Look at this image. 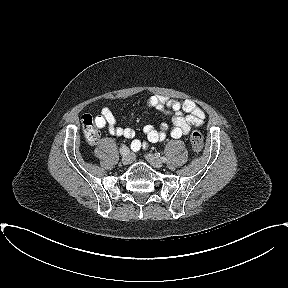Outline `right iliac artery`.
<instances>
[{
    "label": "right iliac artery",
    "instance_id": "right-iliac-artery-1",
    "mask_svg": "<svg viewBox=\"0 0 288 288\" xmlns=\"http://www.w3.org/2000/svg\"><path fill=\"white\" fill-rule=\"evenodd\" d=\"M120 153L122 154L123 158L129 157V149L126 146H121Z\"/></svg>",
    "mask_w": 288,
    "mask_h": 288
}]
</instances>
